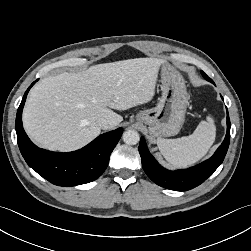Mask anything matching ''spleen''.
<instances>
[{
	"label": "spleen",
	"mask_w": 251,
	"mask_h": 251,
	"mask_svg": "<svg viewBox=\"0 0 251 251\" xmlns=\"http://www.w3.org/2000/svg\"><path fill=\"white\" fill-rule=\"evenodd\" d=\"M216 137V126L211 116L201 121L195 131L177 139H157V146L163 157L175 167H187L202 159Z\"/></svg>",
	"instance_id": "1"
}]
</instances>
